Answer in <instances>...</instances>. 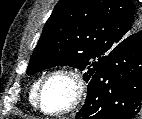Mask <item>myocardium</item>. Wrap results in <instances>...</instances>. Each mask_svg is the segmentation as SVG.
Returning <instances> with one entry per match:
<instances>
[{"label":"myocardium","mask_w":142,"mask_h":119,"mask_svg":"<svg viewBox=\"0 0 142 119\" xmlns=\"http://www.w3.org/2000/svg\"><path fill=\"white\" fill-rule=\"evenodd\" d=\"M67 77L71 80L74 86L73 98L69 105L61 110H47L42 106V95L47 83L55 77ZM87 90V84L83 74L77 69L71 67H62L49 72L40 82L35 95V106L45 115L49 116H64L75 111L82 103Z\"/></svg>","instance_id":"1"}]
</instances>
